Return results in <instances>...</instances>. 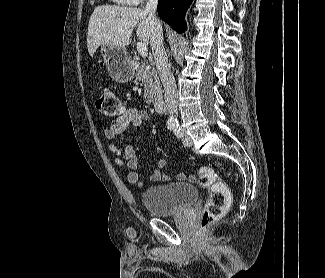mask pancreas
<instances>
[{
    "label": "pancreas",
    "mask_w": 325,
    "mask_h": 278,
    "mask_svg": "<svg viewBox=\"0 0 325 278\" xmlns=\"http://www.w3.org/2000/svg\"><path fill=\"white\" fill-rule=\"evenodd\" d=\"M136 80L141 81L145 85L144 98L146 103H154L162 93L156 70L145 62L139 63Z\"/></svg>",
    "instance_id": "pancreas-1"
}]
</instances>
